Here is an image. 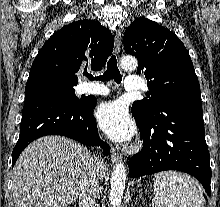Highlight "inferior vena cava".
Returning <instances> with one entry per match:
<instances>
[{
  "instance_id": "inferior-vena-cava-1",
  "label": "inferior vena cava",
  "mask_w": 220,
  "mask_h": 207,
  "mask_svg": "<svg viewBox=\"0 0 220 207\" xmlns=\"http://www.w3.org/2000/svg\"><path fill=\"white\" fill-rule=\"evenodd\" d=\"M102 163L96 155L90 157L89 167L80 181L79 207H97Z\"/></svg>"
}]
</instances>
